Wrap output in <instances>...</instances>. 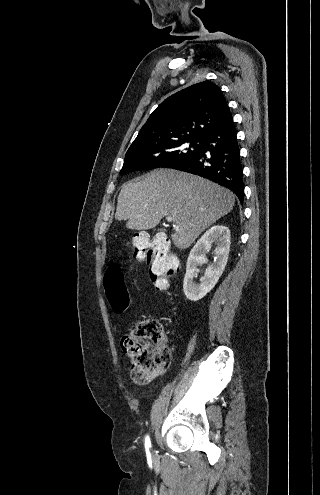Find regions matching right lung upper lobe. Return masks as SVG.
Wrapping results in <instances>:
<instances>
[{"mask_svg": "<svg viewBox=\"0 0 320 495\" xmlns=\"http://www.w3.org/2000/svg\"><path fill=\"white\" fill-rule=\"evenodd\" d=\"M232 119L223 92L210 80L164 100L150 115L129 149L185 138H203Z\"/></svg>", "mask_w": 320, "mask_h": 495, "instance_id": "1", "label": "right lung upper lobe"}]
</instances>
